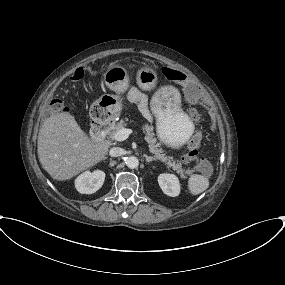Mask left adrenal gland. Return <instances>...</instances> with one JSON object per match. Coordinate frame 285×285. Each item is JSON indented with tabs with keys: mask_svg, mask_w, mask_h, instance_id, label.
<instances>
[{
	"mask_svg": "<svg viewBox=\"0 0 285 285\" xmlns=\"http://www.w3.org/2000/svg\"><path fill=\"white\" fill-rule=\"evenodd\" d=\"M145 159H146L147 163H150L152 161H156V159L154 157H151V156H145Z\"/></svg>",
	"mask_w": 285,
	"mask_h": 285,
	"instance_id": "obj_1",
	"label": "left adrenal gland"
}]
</instances>
